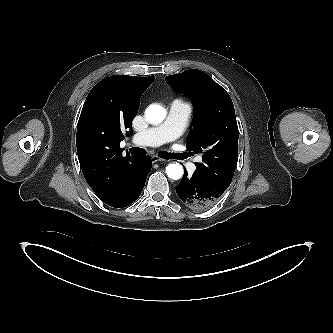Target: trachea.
Returning <instances> with one entry per match:
<instances>
[{"label": "trachea", "instance_id": "obj_1", "mask_svg": "<svg viewBox=\"0 0 333 333\" xmlns=\"http://www.w3.org/2000/svg\"><path fill=\"white\" fill-rule=\"evenodd\" d=\"M132 155H145L146 150L139 147H133L129 149ZM163 159H182L185 158L184 154H174V153H159L158 154Z\"/></svg>", "mask_w": 333, "mask_h": 333}]
</instances>
